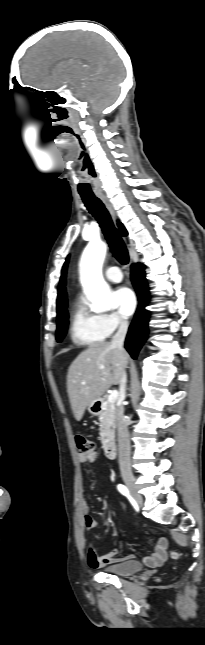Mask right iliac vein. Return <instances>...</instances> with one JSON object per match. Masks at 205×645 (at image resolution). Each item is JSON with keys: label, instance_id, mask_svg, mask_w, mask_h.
<instances>
[{"label": "right iliac vein", "instance_id": "obj_1", "mask_svg": "<svg viewBox=\"0 0 205 645\" xmlns=\"http://www.w3.org/2000/svg\"><path fill=\"white\" fill-rule=\"evenodd\" d=\"M122 478L129 488L130 492L134 496L135 500L139 503L142 504V496L138 493V489L135 483V478L132 473H124L122 475Z\"/></svg>", "mask_w": 205, "mask_h": 645}]
</instances>
